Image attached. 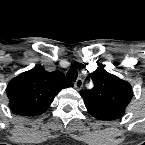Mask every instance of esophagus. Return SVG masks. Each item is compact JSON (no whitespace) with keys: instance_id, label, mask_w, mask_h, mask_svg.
I'll use <instances>...</instances> for the list:
<instances>
[{"instance_id":"34e87169","label":"esophagus","mask_w":145,"mask_h":145,"mask_svg":"<svg viewBox=\"0 0 145 145\" xmlns=\"http://www.w3.org/2000/svg\"><path fill=\"white\" fill-rule=\"evenodd\" d=\"M83 86V80L81 78H78L75 83H74V87L77 89V90H80Z\"/></svg>"}]
</instances>
